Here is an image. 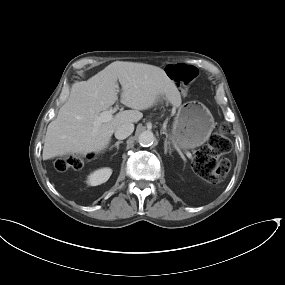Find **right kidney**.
Masks as SVG:
<instances>
[{
  "mask_svg": "<svg viewBox=\"0 0 285 285\" xmlns=\"http://www.w3.org/2000/svg\"><path fill=\"white\" fill-rule=\"evenodd\" d=\"M112 170L110 168H102L94 171L88 176L87 183L91 186H97L105 183L111 176Z\"/></svg>",
  "mask_w": 285,
  "mask_h": 285,
  "instance_id": "obj_1",
  "label": "right kidney"
}]
</instances>
